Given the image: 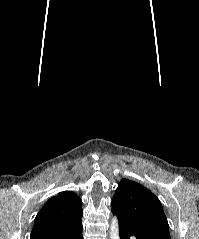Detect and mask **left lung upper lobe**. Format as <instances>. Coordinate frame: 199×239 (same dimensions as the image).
<instances>
[{
  "mask_svg": "<svg viewBox=\"0 0 199 239\" xmlns=\"http://www.w3.org/2000/svg\"><path fill=\"white\" fill-rule=\"evenodd\" d=\"M111 205L112 212L119 220L147 239H171L160 201L141 184L122 179Z\"/></svg>",
  "mask_w": 199,
  "mask_h": 239,
  "instance_id": "5c2ea615",
  "label": "left lung upper lobe"
}]
</instances>
